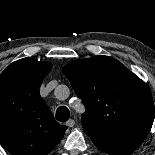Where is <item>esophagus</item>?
I'll return each instance as SVG.
<instances>
[{
  "label": "esophagus",
  "instance_id": "obj_1",
  "mask_svg": "<svg viewBox=\"0 0 155 155\" xmlns=\"http://www.w3.org/2000/svg\"><path fill=\"white\" fill-rule=\"evenodd\" d=\"M66 125L68 127H73L75 126V121L73 119H69L67 122H66Z\"/></svg>",
  "mask_w": 155,
  "mask_h": 155
}]
</instances>
